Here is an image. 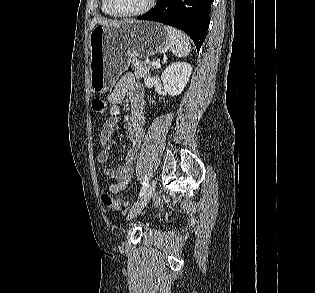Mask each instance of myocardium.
<instances>
[{"mask_svg": "<svg viewBox=\"0 0 315 293\" xmlns=\"http://www.w3.org/2000/svg\"><path fill=\"white\" fill-rule=\"evenodd\" d=\"M155 2L156 0H148L147 4L143 8L133 12H125L120 10L116 4V0H108V5L110 10L118 17H135L143 15L147 13L149 10H151Z\"/></svg>", "mask_w": 315, "mask_h": 293, "instance_id": "obj_1", "label": "myocardium"}]
</instances>
